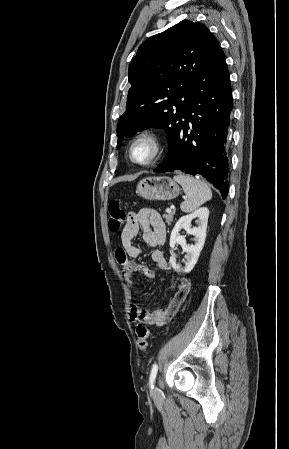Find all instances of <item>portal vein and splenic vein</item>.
Returning <instances> with one entry per match:
<instances>
[{
	"mask_svg": "<svg viewBox=\"0 0 289 449\" xmlns=\"http://www.w3.org/2000/svg\"><path fill=\"white\" fill-rule=\"evenodd\" d=\"M171 211H172L171 208H167V209H166V212H167V213H170Z\"/></svg>",
	"mask_w": 289,
	"mask_h": 449,
	"instance_id": "obj_1",
	"label": "portal vein and splenic vein"
}]
</instances>
